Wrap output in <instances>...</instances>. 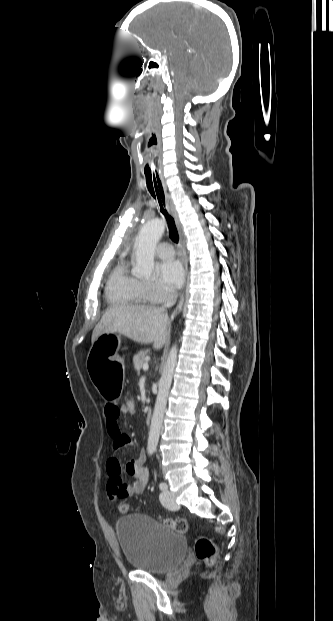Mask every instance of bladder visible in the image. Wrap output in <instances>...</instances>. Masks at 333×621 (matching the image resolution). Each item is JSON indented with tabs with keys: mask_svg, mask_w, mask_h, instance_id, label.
<instances>
[{
	"mask_svg": "<svg viewBox=\"0 0 333 621\" xmlns=\"http://www.w3.org/2000/svg\"><path fill=\"white\" fill-rule=\"evenodd\" d=\"M115 529L121 552L136 571L163 574L178 566L186 556L185 536L147 515L121 517Z\"/></svg>",
	"mask_w": 333,
	"mask_h": 621,
	"instance_id": "obj_1",
	"label": "bladder"
}]
</instances>
